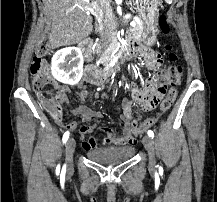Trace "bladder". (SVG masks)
Here are the masks:
<instances>
[{"mask_svg":"<svg viewBox=\"0 0 217 202\" xmlns=\"http://www.w3.org/2000/svg\"><path fill=\"white\" fill-rule=\"evenodd\" d=\"M135 152V148L103 147L97 151L87 152L93 161L102 162L104 165H115L128 160Z\"/></svg>","mask_w":217,"mask_h":202,"instance_id":"bladder-1","label":"bladder"}]
</instances>
